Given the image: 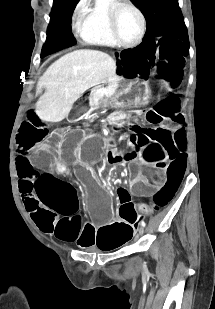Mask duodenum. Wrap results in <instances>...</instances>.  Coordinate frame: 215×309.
Instances as JSON below:
<instances>
[{
	"mask_svg": "<svg viewBox=\"0 0 215 309\" xmlns=\"http://www.w3.org/2000/svg\"><path fill=\"white\" fill-rule=\"evenodd\" d=\"M111 120H112L113 122H115V123H119V122H120L118 116H112V117H111Z\"/></svg>",
	"mask_w": 215,
	"mask_h": 309,
	"instance_id": "obj_1",
	"label": "duodenum"
}]
</instances>
